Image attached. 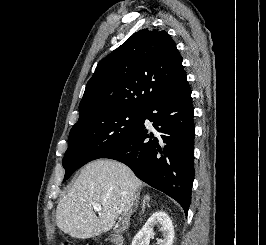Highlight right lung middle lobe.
<instances>
[{"mask_svg":"<svg viewBox=\"0 0 266 245\" xmlns=\"http://www.w3.org/2000/svg\"><path fill=\"white\" fill-rule=\"evenodd\" d=\"M145 109L122 107L91 112L72 127L62 164L66 181L84 164L124 145L138 129Z\"/></svg>","mask_w":266,"mask_h":245,"instance_id":"obj_1","label":"right lung middle lobe"}]
</instances>
